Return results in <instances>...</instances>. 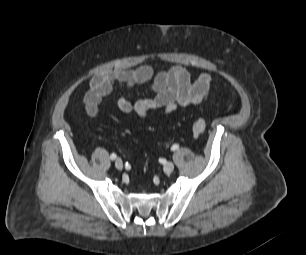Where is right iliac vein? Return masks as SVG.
<instances>
[{"mask_svg": "<svg viewBox=\"0 0 306 255\" xmlns=\"http://www.w3.org/2000/svg\"><path fill=\"white\" fill-rule=\"evenodd\" d=\"M115 167L119 170L123 169V161L120 158L115 160Z\"/></svg>", "mask_w": 306, "mask_h": 255, "instance_id": "63e3f726", "label": "right iliac vein"}]
</instances>
